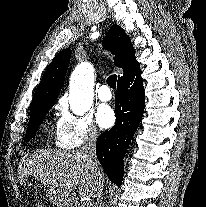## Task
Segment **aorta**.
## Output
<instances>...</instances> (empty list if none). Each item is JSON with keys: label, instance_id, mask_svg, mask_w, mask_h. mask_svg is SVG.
Here are the masks:
<instances>
[{"label": "aorta", "instance_id": "aorta-1", "mask_svg": "<svg viewBox=\"0 0 206 207\" xmlns=\"http://www.w3.org/2000/svg\"><path fill=\"white\" fill-rule=\"evenodd\" d=\"M94 69L89 63L78 65L73 71L69 85L70 109L83 115L93 104Z\"/></svg>", "mask_w": 206, "mask_h": 207}]
</instances>
